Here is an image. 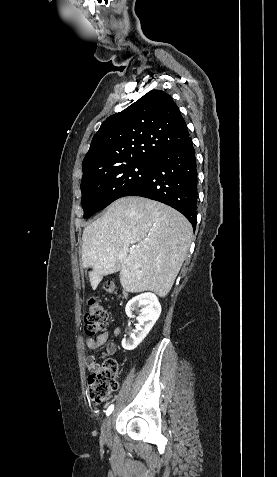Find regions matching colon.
<instances>
[{
  "label": "colon",
  "instance_id": "1",
  "mask_svg": "<svg viewBox=\"0 0 277 477\" xmlns=\"http://www.w3.org/2000/svg\"><path fill=\"white\" fill-rule=\"evenodd\" d=\"M105 290L115 294L112 283L105 285ZM108 320V313L96 297L88 300L84 314L85 330L90 336L104 330ZM88 398L94 405L105 403L113 391L118 387V364L115 360L107 358L102 363H94L89 367Z\"/></svg>",
  "mask_w": 277,
  "mask_h": 477
}]
</instances>
